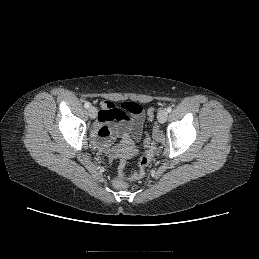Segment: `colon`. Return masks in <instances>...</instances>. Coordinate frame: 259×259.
I'll list each match as a JSON object with an SVG mask.
<instances>
[{"mask_svg":"<svg viewBox=\"0 0 259 259\" xmlns=\"http://www.w3.org/2000/svg\"><path fill=\"white\" fill-rule=\"evenodd\" d=\"M123 107L128 109V111H131V112L138 111V107L131 102L123 103ZM154 117H155V109L153 108L148 109L147 119L149 121H152ZM155 149H156L155 143L151 140L150 137L146 136L144 139V152L139 159V169L136 173H134L131 176L133 179L140 178L144 175L146 168L148 167L154 155ZM114 185L119 189H123L128 186L127 178L125 175V162H122V164L119 167V176L115 178Z\"/></svg>","mask_w":259,"mask_h":259,"instance_id":"obj_1","label":"colon"}]
</instances>
